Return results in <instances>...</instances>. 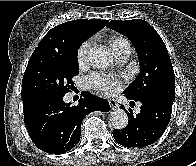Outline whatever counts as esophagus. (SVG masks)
I'll return each instance as SVG.
<instances>
[{
    "instance_id": "obj_1",
    "label": "esophagus",
    "mask_w": 196,
    "mask_h": 166,
    "mask_svg": "<svg viewBox=\"0 0 196 166\" xmlns=\"http://www.w3.org/2000/svg\"><path fill=\"white\" fill-rule=\"evenodd\" d=\"M108 101H109V104H110L112 110L119 108V105L115 99H109Z\"/></svg>"
}]
</instances>
